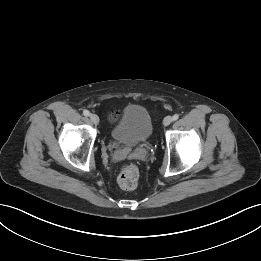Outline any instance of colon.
<instances>
[{"label": "colon", "mask_w": 261, "mask_h": 261, "mask_svg": "<svg viewBox=\"0 0 261 261\" xmlns=\"http://www.w3.org/2000/svg\"><path fill=\"white\" fill-rule=\"evenodd\" d=\"M112 119L116 118V113L111 115ZM139 179V170L133 164L124 165L118 175V183L123 189L131 190L137 186Z\"/></svg>", "instance_id": "obj_1"}]
</instances>
